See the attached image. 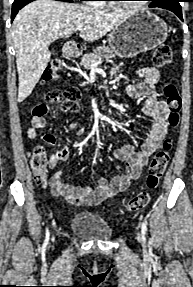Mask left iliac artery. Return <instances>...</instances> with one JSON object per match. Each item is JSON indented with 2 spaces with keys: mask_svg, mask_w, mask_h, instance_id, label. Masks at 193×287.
<instances>
[{
  "mask_svg": "<svg viewBox=\"0 0 193 287\" xmlns=\"http://www.w3.org/2000/svg\"><path fill=\"white\" fill-rule=\"evenodd\" d=\"M141 231H142V234H143V237H144V235L147 232V224H146V222H142Z\"/></svg>",
  "mask_w": 193,
  "mask_h": 287,
  "instance_id": "obj_1",
  "label": "left iliac artery"
}]
</instances>
